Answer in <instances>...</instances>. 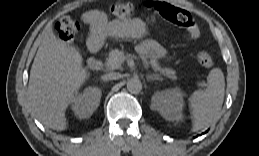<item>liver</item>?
Segmentation results:
<instances>
[{
    "label": "liver",
    "mask_w": 259,
    "mask_h": 156,
    "mask_svg": "<svg viewBox=\"0 0 259 156\" xmlns=\"http://www.w3.org/2000/svg\"><path fill=\"white\" fill-rule=\"evenodd\" d=\"M88 77L79 51L59 40L52 27L46 26L28 85L29 100L37 118L53 130L67 129L65 111Z\"/></svg>",
    "instance_id": "6515ba94"
}]
</instances>
